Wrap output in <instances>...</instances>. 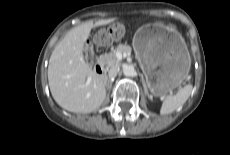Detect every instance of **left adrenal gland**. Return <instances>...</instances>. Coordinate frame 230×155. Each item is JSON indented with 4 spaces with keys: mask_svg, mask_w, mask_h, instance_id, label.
I'll return each instance as SVG.
<instances>
[{
    "mask_svg": "<svg viewBox=\"0 0 230 155\" xmlns=\"http://www.w3.org/2000/svg\"><path fill=\"white\" fill-rule=\"evenodd\" d=\"M141 77H142V83H143V86H144V89H145V93H146V95L149 97V94H148V91H147V89H146V85H145L143 76H141Z\"/></svg>",
    "mask_w": 230,
    "mask_h": 155,
    "instance_id": "a2214340",
    "label": "left adrenal gland"
}]
</instances>
